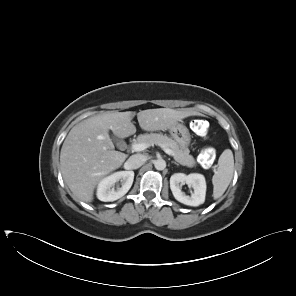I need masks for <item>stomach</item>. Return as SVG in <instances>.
Masks as SVG:
<instances>
[{"instance_id": "stomach-1", "label": "stomach", "mask_w": 296, "mask_h": 296, "mask_svg": "<svg viewBox=\"0 0 296 296\" xmlns=\"http://www.w3.org/2000/svg\"><path fill=\"white\" fill-rule=\"evenodd\" d=\"M170 134L175 142L180 147H188L191 141V136L187 127L183 124H176L172 126L170 129Z\"/></svg>"}]
</instances>
